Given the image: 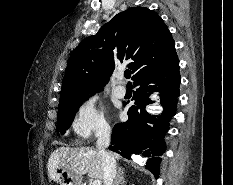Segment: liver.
<instances>
[{
	"label": "liver",
	"mask_w": 233,
	"mask_h": 185,
	"mask_svg": "<svg viewBox=\"0 0 233 185\" xmlns=\"http://www.w3.org/2000/svg\"><path fill=\"white\" fill-rule=\"evenodd\" d=\"M117 160L120 155L111 153ZM48 176L50 179L58 169L70 171L78 176L88 173L91 178L103 180L102 158L97 149L90 147L69 148L59 147L49 157Z\"/></svg>",
	"instance_id": "obj_1"
}]
</instances>
